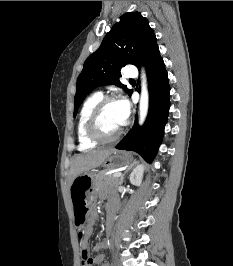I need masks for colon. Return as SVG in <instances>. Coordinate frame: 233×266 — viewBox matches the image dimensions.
Masks as SVG:
<instances>
[{"mask_svg": "<svg viewBox=\"0 0 233 266\" xmlns=\"http://www.w3.org/2000/svg\"><path fill=\"white\" fill-rule=\"evenodd\" d=\"M81 236V232H80ZM92 255L89 251H83L81 253V260L83 265H88L91 262Z\"/></svg>", "mask_w": 233, "mask_h": 266, "instance_id": "5ec220e1", "label": "colon"}]
</instances>
